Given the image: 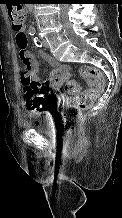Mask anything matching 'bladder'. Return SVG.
Returning <instances> with one entry per match:
<instances>
[{
	"label": "bladder",
	"instance_id": "bladder-1",
	"mask_svg": "<svg viewBox=\"0 0 122 218\" xmlns=\"http://www.w3.org/2000/svg\"><path fill=\"white\" fill-rule=\"evenodd\" d=\"M44 116L42 112L26 113L24 116L25 126L41 133L47 132L49 130V122Z\"/></svg>",
	"mask_w": 122,
	"mask_h": 218
}]
</instances>
